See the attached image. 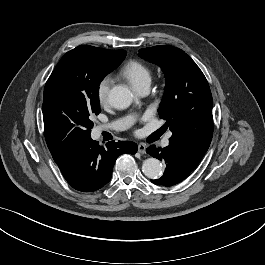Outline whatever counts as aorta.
<instances>
[{
    "label": "aorta",
    "mask_w": 265,
    "mask_h": 265,
    "mask_svg": "<svg viewBox=\"0 0 265 265\" xmlns=\"http://www.w3.org/2000/svg\"><path fill=\"white\" fill-rule=\"evenodd\" d=\"M134 95L129 88L123 85L114 86L109 92V102L116 109L129 107ZM142 172L150 179H157L163 173V167L156 158H148L143 162Z\"/></svg>",
    "instance_id": "762f6f07"
}]
</instances>
